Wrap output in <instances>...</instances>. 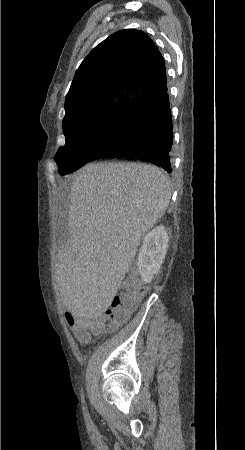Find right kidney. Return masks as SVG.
Listing matches in <instances>:
<instances>
[{
  "label": "right kidney",
  "instance_id": "right-kidney-1",
  "mask_svg": "<svg viewBox=\"0 0 245 450\" xmlns=\"http://www.w3.org/2000/svg\"><path fill=\"white\" fill-rule=\"evenodd\" d=\"M169 237L160 225L148 232L138 254V270L145 283H150L165 259Z\"/></svg>",
  "mask_w": 245,
  "mask_h": 450
}]
</instances>
